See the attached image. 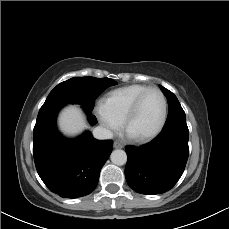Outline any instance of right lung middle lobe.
<instances>
[{
  "instance_id": "dd1d6c3e",
  "label": "right lung middle lobe",
  "mask_w": 229,
  "mask_h": 229,
  "mask_svg": "<svg viewBox=\"0 0 229 229\" xmlns=\"http://www.w3.org/2000/svg\"><path fill=\"white\" fill-rule=\"evenodd\" d=\"M117 82L110 78L74 77L58 84L48 95L40 110L78 103L92 111L96 98Z\"/></svg>"
}]
</instances>
